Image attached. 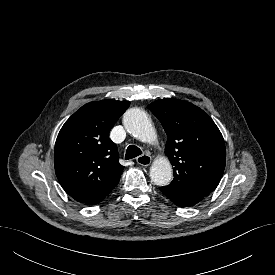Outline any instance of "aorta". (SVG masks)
<instances>
[{"label": "aorta", "instance_id": "1", "mask_svg": "<svg viewBox=\"0 0 275 275\" xmlns=\"http://www.w3.org/2000/svg\"><path fill=\"white\" fill-rule=\"evenodd\" d=\"M125 129L137 139L151 142L156 132L148 115L140 108H131L123 117ZM171 163L166 158L157 159L150 168V178L158 186H166L172 179Z\"/></svg>", "mask_w": 275, "mask_h": 275}]
</instances>
